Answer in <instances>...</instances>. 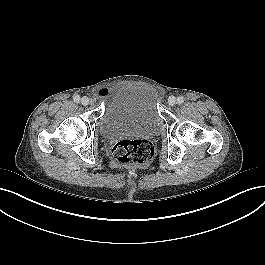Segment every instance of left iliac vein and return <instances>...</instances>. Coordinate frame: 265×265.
Instances as JSON below:
<instances>
[{"instance_id": "1", "label": "left iliac vein", "mask_w": 265, "mask_h": 265, "mask_svg": "<svg viewBox=\"0 0 265 265\" xmlns=\"http://www.w3.org/2000/svg\"><path fill=\"white\" fill-rule=\"evenodd\" d=\"M168 104H169L170 106H174V105L176 104V98H175L174 96H170V97L168 98Z\"/></svg>"}]
</instances>
